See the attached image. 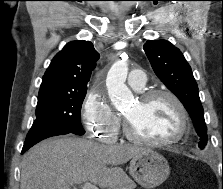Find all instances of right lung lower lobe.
I'll list each match as a JSON object with an SVG mask.
<instances>
[{
    "mask_svg": "<svg viewBox=\"0 0 223 189\" xmlns=\"http://www.w3.org/2000/svg\"><path fill=\"white\" fill-rule=\"evenodd\" d=\"M71 133L69 130L58 126H32L28 132L21 154L25 153L36 143L57 135H64Z\"/></svg>",
    "mask_w": 223,
    "mask_h": 189,
    "instance_id": "1",
    "label": "right lung lower lobe"
}]
</instances>
